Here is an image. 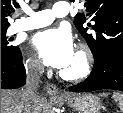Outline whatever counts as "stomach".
I'll return each instance as SVG.
<instances>
[{
	"label": "stomach",
	"mask_w": 123,
	"mask_h": 113,
	"mask_svg": "<svg viewBox=\"0 0 123 113\" xmlns=\"http://www.w3.org/2000/svg\"><path fill=\"white\" fill-rule=\"evenodd\" d=\"M62 100L80 113H99L102 108L99 98L91 94L68 95L62 97Z\"/></svg>",
	"instance_id": "0dacf381"
}]
</instances>
